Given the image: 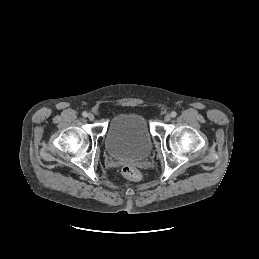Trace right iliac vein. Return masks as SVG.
Here are the masks:
<instances>
[{
  "instance_id": "obj_1",
  "label": "right iliac vein",
  "mask_w": 259,
  "mask_h": 259,
  "mask_svg": "<svg viewBox=\"0 0 259 259\" xmlns=\"http://www.w3.org/2000/svg\"><path fill=\"white\" fill-rule=\"evenodd\" d=\"M87 117L90 121H93L95 119V116L92 113H89Z\"/></svg>"
}]
</instances>
